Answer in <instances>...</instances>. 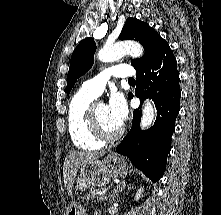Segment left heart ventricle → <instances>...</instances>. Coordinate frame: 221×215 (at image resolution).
<instances>
[{"instance_id":"b2bd125f","label":"left heart ventricle","mask_w":221,"mask_h":215,"mask_svg":"<svg viewBox=\"0 0 221 215\" xmlns=\"http://www.w3.org/2000/svg\"><path fill=\"white\" fill-rule=\"evenodd\" d=\"M97 116L101 125L106 131L115 132L120 128L112 123L110 116H109L108 107L106 104L100 103L97 106Z\"/></svg>"}]
</instances>
